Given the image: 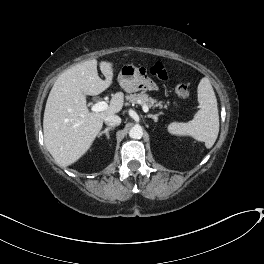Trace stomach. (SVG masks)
Instances as JSON below:
<instances>
[{"mask_svg": "<svg viewBox=\"0 0 264 264\" xmlns=\"http://www.w3.org/2000/svg\"><path fill=\"white\" fill-rule=\"evenodd\" d=\"M143 80V76L139 68L133 64H125L121 67L118 74L119 85L128 93L138 91Z\"/></svg>", "mask_w": 264, "mask_h": 264, "instance_id": "obj_1", "label": "stomach"}]
</instances>
